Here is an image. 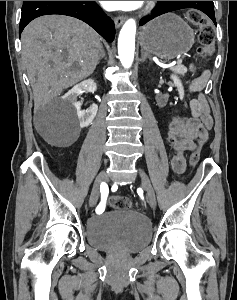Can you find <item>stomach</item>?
<instances>
[{
  "label": "stomach",
  "mask_w": 237,
  "mask_h": 300,
  "mask_svg": "<svg viewBox=\"0 0 237 300\" xmlns=\"http://www.w3.org/2000/svg\"><path fill=\"white\" fill-rule=\"evenodd\" d=\"M194 31L174 13L161 15L149 21L139 33L143 51L162 59H175L186 55L194 45Z\"/></svg>",
  "instance_id": "0dacf381"
}]
</instances>
